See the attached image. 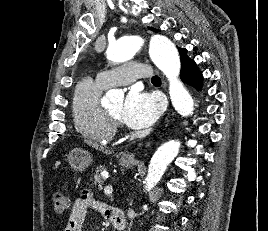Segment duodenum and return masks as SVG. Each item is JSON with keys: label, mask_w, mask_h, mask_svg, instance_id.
<instances>
[{"label": "duodenum", "mask_w": 268, "mask_h": 231, "mask_svg": "<svg viewBox=\"0 0 268 231\" xmlns=\"http://www.w3.org/2000/svg\"><path fill=\"white\" fill-rule=\"evenodd\" d=\"M110 221L116 229L122 230L126 226V217L122 209H113Z\"/></svg>", "instance_id": "obj_1"}]
</instances>
